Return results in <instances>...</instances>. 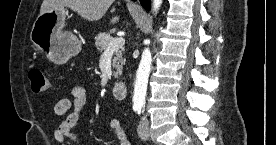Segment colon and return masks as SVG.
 Wrapping results in <instances>:
<instances>
[{"instance_id":"obj_1","label":"colon","mask_w":276,"mask_h":145,"mask_svg":"<svg viewBox=\"0 0 276 145\" xmlns=\"http://www.w3.org/2000/svg\"><path fill=\"white\" fill-rule=\"evenodd\" d=\"M29 79L32 91L36 94H42L50 89V81L45 73L39 68H32L29 71Z\"/></svg>"}]
</instances>
